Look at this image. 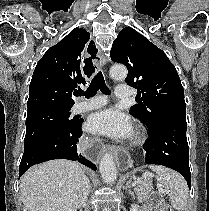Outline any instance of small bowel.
I'll use <instances>...</instances> for the list:
<instances>
[{"instance_id": "1", "label": "small bowel", "mask_w": 209, "mask_h": 211, "mask_svg": "<svg viewBox=\"0 0 209 211\" xmlns=\"http://www.w3.org/2000/svg\"><path fill=\"white\" fill-rule=\"evenodd\" d=\"M141 211H165L162 196L157 193L153 194Z\"/></svg>"}]
</instances>
